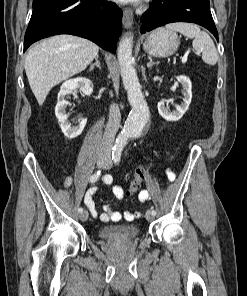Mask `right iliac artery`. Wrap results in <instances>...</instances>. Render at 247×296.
I'll use <instances>...</instances> for the list:
<instances>
[{"instance_id": "1", "label": "right iliac artery", "mask_w": 247, "mask_h": 296, "mask_svg": "<svg viewBox=\"0 0 247 296\" xmlns=\"http://www.w3.org/2000/svg\"><path fill=\"white\" fill-rule=\"evenodd\" d=\"M113 154V153H112ZM100 175H101V171L99 170V171H97L96 173H94L91 177H90V182H92V183H94V182H96L98 179H99V177H100ZM78 212L79 213H82L83 212V208H78Z\"/></svg>"}]
</instances>
